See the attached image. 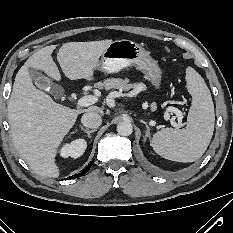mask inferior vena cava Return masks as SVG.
I'll use <instances>...</instances> for the list:
<instances>
[{
    "mask_svg": "<svg viewBox=\"0 0 233 233\" xmlns=\"http://www.w3.org/2000/svg\"><path fill=\"white\" fill-rule=\"evenodd\" d=\"M81 122L87 128L97 129L102 123V118L96 112H87L83 114Z\"/></svg>",
    "mask_w": 233,
    "mask_h": 233,
    "instance_id": "602c4592",
    "label": "inferior vena cava"
}]
</instances>
